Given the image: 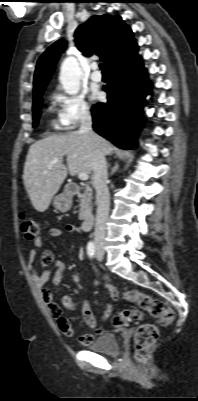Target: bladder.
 Instances as JSON below:
<instances>
[{
  "instance_id": "obj_1",
  "label": "bladder",
  "mask_w": 198,
  "mask_h": 401,
  "mask_svg": "<svg viewBox=\"0 0 198 401\" xmlns=\"http://www.w3.org/2000/svg\"><path fill=\"white\" fill-rule=\"evenodd\" d=\"M89 348L95 352L115 354L120 348L119 339L116 334L105 333L91 343Z\"/></svg>"
}]
</instances>
